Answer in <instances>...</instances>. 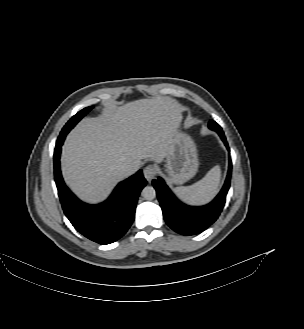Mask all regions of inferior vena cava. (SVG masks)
I'll use <instances>...</instances> for the list:
<instances>
[{"label":"inferior vena cava","instance_id":"inferior-vena-cava-1","mask_svg":"<svg viewBox=\"0 0 304 329\" xmlns=\"http://www.w3.org/2000/svg\"><path fill=\"white\" fill-rule=\"evenodd\" d=\"M133 170H134V166L131 165V164H127V163H124V164L120 165V167H119V171H120L121 174H123V175H128V174H130Z\"/></svg>","mask_w":304,"mask_h":329}]
</instances>
